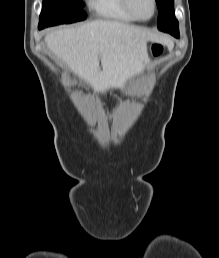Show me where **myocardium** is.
Returning <instances> with one entry per match:
<instances>
[{
    "mask_svg": "<svg viewBox=\"0 0 219 258\" xmlns=\"http://www.w3.org/2000/svg\"><path fill=\"white\" fill-rule=\"evenodd\" d=\"M151 1H152V4H153V12H152L151 16L148 17V18L139 17V16L135 13L134 8H133V5H132V0H123V3H124L125 9L128 11V13H129L135 20H138V21H149L150 19H152V18L154 17V15H155L156 12H157V8H158L157 0H151Z\"/></svg>",
    "mask_w": 219,
    "mask_h": 258,
    "instance_id": "f54148a6",
    "label": "myocardium"
}]
</instances>
